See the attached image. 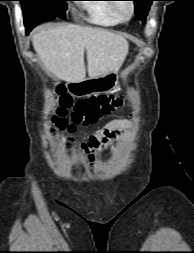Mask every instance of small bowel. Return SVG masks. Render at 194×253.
Listing matches in <instances>:
<instances>
[{"label":"small bowel","instance_id":"small-bowel-1","mask_svg":"<svg viewBox=\"0 0 194 253\" xmlns=\"http://www.w3.org/2000/svg\"><path fill=\"white\" fill-rule=\"evenodd\" d=\"M133 127V122L129 119H114L107 125L97 130L90 136L87 142L82 144V149L86 153V159L93 165L100 152L111 148L112 142L125 130Z\"/></svg>","mask_w":194,"mask_h":253}]
</instances>
